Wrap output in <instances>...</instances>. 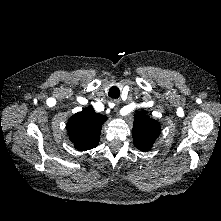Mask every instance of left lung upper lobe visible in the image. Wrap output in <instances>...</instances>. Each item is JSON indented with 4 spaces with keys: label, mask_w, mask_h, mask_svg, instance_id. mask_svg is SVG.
<instances>
[{
    "label": "left lung upper lobe",
    "mask_w": 221,
    "mask_h": 221,
    "mask_svg": "<svg viewBox=\"0 0 221 221\" xmlns=\"http://www.w3.org/2000/svg\"><path fill=\"white\" fill-rule=\"evenodd\" d=\"M132 133L134 145L141 151H148L160 134V123L139 112L134 117Z\"/></svg>",
    "instance_id": "1"
}]
</instances>
